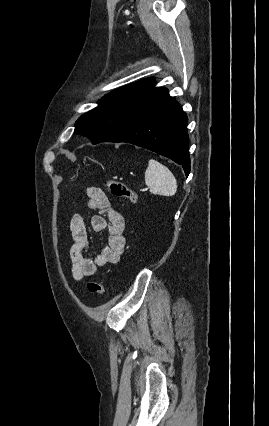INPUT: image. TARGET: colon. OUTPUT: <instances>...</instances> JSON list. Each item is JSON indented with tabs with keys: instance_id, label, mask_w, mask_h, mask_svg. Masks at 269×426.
Here are the masks:
<instances>
[{
	"instance_id": "5ec220e1",
	"label": "colon",
	"mask_w": 269,
	"mask_h": 426,
	"mask_svg": "<svg viewBox=\"0 0 269 426\" xmlns=\"http://www.w3.org/2000/svg\"><path fill=\"white\" fill-rule=\"evenodd\" d=\"M105 185L114 197L124 198L131 203L137 202V194L125 183L108 179L105 181ZM87 288L91 294L97 296H103L105 292L103 284L98 281H89Z\"/></svg>"
}]
</instances>
